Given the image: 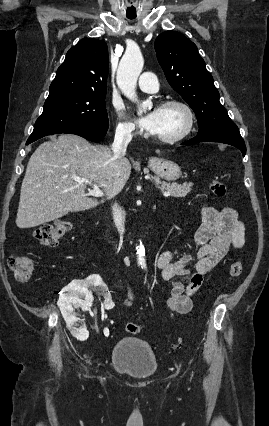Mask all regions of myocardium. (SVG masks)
Segmentation results:
<instances>
[{
    "instance_id": "f54148a6",
    "label": "myocardium",
    "mask_w": 269,
    "mask_h": 426,
    "mask_svg": "<svg viewBox=\"0 0 269 426\" xmlns=\"http://www.w3.org/2000/svg\"><path fill=\"white\" fill-rule=\"evenodd\" d=\"M172 106L179 107L185 112L186 119H187L186 125L180 133L171 137H160V136H155L152 134L150 135L153 139L163 144H175L182 141L191 133L195 124L194 112L192 108L184 101L177 100V99H170V100H166L162 102L160 105V107H172Z\"/></svg>"
}]
</instances>
